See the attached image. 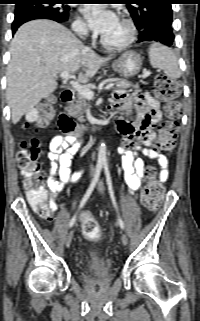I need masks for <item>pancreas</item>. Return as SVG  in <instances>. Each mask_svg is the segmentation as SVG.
<instances>
[{
    "label": "pancreas",
    "instance_id": "pancreas-1",
    "mask_svg": "<svg viewBox=\"0 0 200 321\" xmlns=\"http://www.w3.org/2000/svg\"><path fill=\"white\" fill-rule=\"evenodd\" d=\"M108 82L113 83L115 85V87L119 88V89H128L130 87H133V88L139 87L138 84L133 85L131 82L127 81L126 79H121V78H112V79L108 80ZM87 105H88V99L85 98L84 96L78 94L75 104H72L68 109L69 114L73 117H76L78 119V121L85 122L84 114H85Z\"/></svg>",
    "mask_w": 200,
    "mask_h": 321
}]
</instances>
